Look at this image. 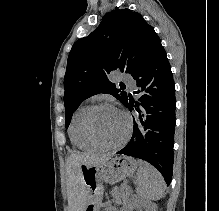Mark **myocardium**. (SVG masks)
I'll return each mask as SVG.
<instances>
[{
	"mask_svg": "<svg viewBox=\"0 0 219 211\" xmlns=\"http://www.w3.org/2000/svg\"><path fill=\"white\" fill-rule=\"evenodd\" d=\"M104 107H109V108L115 109L126 120V124H127L126 131H125L124 135L122 136V138L116 143H106V142L102 141L96 135V133L94 131V128H93L94 115H95L97 110L104 108ZM84 126H85V132L92 143H94L95 145H97L98 147L103 148V149H116V148L124 145L127 142V140L129 139L131 129H132V119L126 112H124L120 108L116 107L115 105H113L109 102H100V103H97V104L90 106V108L87 111L86 117H85Z\"/></svg>",
	"mask_w": 219,
	"mask_h": 211,
	"instance_id": "1",
	"label": "myocardium"
}]
</instances>
